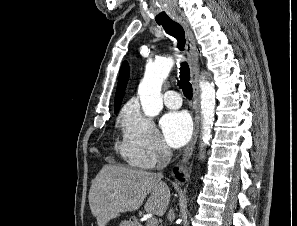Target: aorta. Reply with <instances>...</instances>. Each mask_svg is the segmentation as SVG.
I'll use <instances>...</instances> for the list:
<instances>
[{"label":"aorta","instance_id":"obj_1","mask_svg":"<svg viewBox=\"0 0 297 226\" xmlns=\"http://www.w3.org/2000/svg\"><path fill=\"white\" fill-rule=\"evenodd\" d=\"M172 57H161L146 67L144 78L139 85L138 94L142 110L146 116L154 117L163 108L161 87L174 66ZM202 116V147L211 139V129L215 115L214 84L202 78L199 82Z\"/></svg>","mask_w":297,"mask_h":226}]
</instances>
